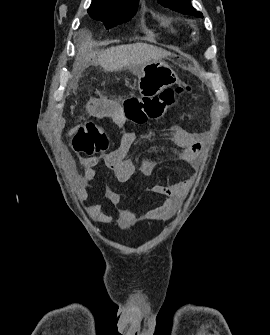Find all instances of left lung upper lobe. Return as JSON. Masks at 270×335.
Wrapping results in <instances>:
<instances>
[{
	"label": "left lung upper lobe",
	"instance_id": "5c2ea615",
	"mask_svg": "<svg viewBox=\"0 0 270 335\" xmlns=\"http://www.w3.org/2000/svg\"><path fill=\"white\" fill-rule=\"evenodd\" d=\"M158 2L180 13L203 18L202 13L192 7L191 0H158Z\"/></svg>",
	"mask_w": 270,
	"mask_h": 335
}]
</instances>
